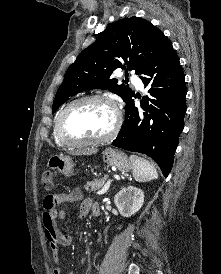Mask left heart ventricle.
I'll use <instances>...</instances> for the list:
<instances>
[{
    "label": "left heart ventricle",
    "instance_id": "b2bd125f",
    "mask_svg": "<svg viewBox=\"0 0 221 274\" xmlns=\"http://www.w3.org/2000/svg\"><path fill=\"white\" fill-rule=\"evenodd\" d=\"M114 123L110 106L100 102H89L75 106L65 119V130L76 139H92L104 136Z\"/></svg>",
    "mask_w": 221,
    "mask_h": 274
}]
</instances>
